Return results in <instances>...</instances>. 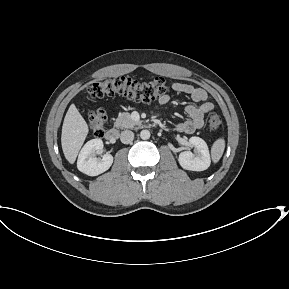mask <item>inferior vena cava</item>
<instances>
[{"instance_id":"inferior-vena-cava-1","label":"inferior vena cava","mask_w":289,"mask_h":289,"mask_svg":"<svg viewBox=\"0 0 289 289\" xmlns=\"http://www.w3.org/2000/svg\"><path fill=\"white\" fill-rule=\"evenodd\" d=\"M133 139H134V133L132 131L130 130L122 131L120 135V140L122 143L129 144L133 141Z\"/></svg>"}]
</instances>
